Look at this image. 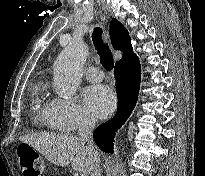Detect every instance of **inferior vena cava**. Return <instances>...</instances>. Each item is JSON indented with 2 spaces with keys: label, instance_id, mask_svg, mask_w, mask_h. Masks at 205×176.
<instances>
[{
  "label": "inferior vena cava",
  "instance_id": "obj_1",
  "mask_svg": "<svg viewBox=\"0 0 205 176\" xmlns=\"http://www.w3.org/2000/svg\"><path fill=\"white\" fill-rule=\"evenodd\" d=\"M95 128V120L89 117H83L81 120V125L78 131V141L82 144L87 143L88 148L94 153L96 156L95 164L93 170L91 172V176H101L100 172V159L98 157V153L94 148V141L92 132Z\"/></svg>",
  "mask_w": 205,
  "mask_h": 176
}]
</instances>
